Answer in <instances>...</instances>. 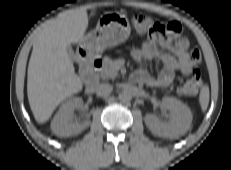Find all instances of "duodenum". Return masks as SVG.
<instances>
[{
	"label": "duodenum",
	"mask_w": 231,
	"mask_h": 170,
	"mask_svg": "<svg viewBox=\"0 0 231 170\" xmlns=\"http://www.w3.org/2000/svg\"><path fill=\"white\" fill-rule=\"evenodd\" d=\"M101 67L102 60L100 58L94 56L85 57L81 67V76L86 83L87 94L94 92Z\"/></svg>",
	"instance_id": "duodenum-1"
}]
</instances>
